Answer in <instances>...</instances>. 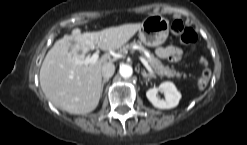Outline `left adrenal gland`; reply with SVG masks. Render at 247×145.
Returning a JSON list of instances; mask_svg holds the SVG:
<instances>
[{
  "instance_id": "1",
  "label": "left adrenal gland",
  "mask_w": 247,
  "mask_h": 145,
  "mask_svg": "<svg viewBox=\"0 0 247 145\" xmlns=\"http://www.w3.org/2000/svg\"><path fill=\"white\" fill-rule=\"evenodd\" d=\"M141 74H142V76H143L144 78H155L154 75H152V74H150V73H146L145 70H143Z\"/></svg>"
}]
</instances>
